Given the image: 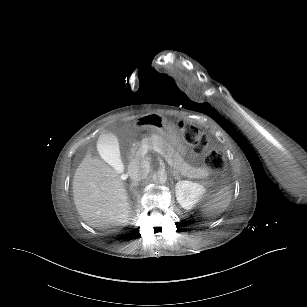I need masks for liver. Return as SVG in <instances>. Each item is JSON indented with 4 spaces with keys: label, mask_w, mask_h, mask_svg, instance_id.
<instances>
[{
    "label": "liver",
    "mask_w": 307,
    "mask_h": 307,
    "mask_svg": "<svg viewBox=\"0 0 307 307\" xmlns=\"http://www.w3.org/2000/svg\"><path fill=\"white\" fill-rule=\"evenodd\" d=\"M128 116L123 122L134 120ZM76 209L87 225L106 229L125 223L131 213L129 196L122 179L98 157L86 155L73 179Z\"/></svg>",
    "instance_id": "1"
}]
</instances>
